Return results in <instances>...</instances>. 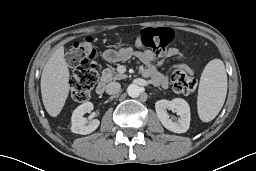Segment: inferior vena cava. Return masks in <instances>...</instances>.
Returning a JSON list of instances; mask_svg holds the SVG:
<instances>
[{
    "label": "inferior vena cava",
    "instance_id": "602c4592",
    "mask_svg": "<svg viewBox=\"0 0 256 171\" xmlns=\"http://www.w3.org/2000/svg\"><path fill=\"white\" fill-rule=\"evenodd\" d=\"M120 90L121 85L118 82H110L106 85V93L109 95L119 93Z\"/></svg>",
    "mask_w": 256,
    "mask_h": 171
}]
</instances>
